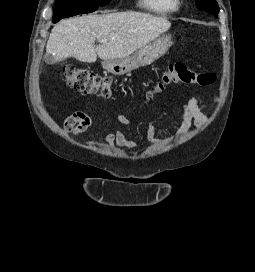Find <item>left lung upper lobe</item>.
<instances>
[{
	"mask_svg": "<svg viewBox=\"0 0 255 272\" xmlns=\"http://www.w3.org/2000/svg\"><path fill=\"white\" fill-rule=\"evenodd\" d=\"M196 5L199 10H204L217 17L218 15V4L216 0H196Z\"/></svg>",
	"mask_w": 255,
	"mask_h": 272,
	"instance_id": "1",
	"label": "left lung upper lobe"
}]
</instances>
